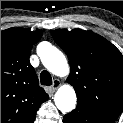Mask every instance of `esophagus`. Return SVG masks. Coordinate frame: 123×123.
Instances as JSON below:
<instances>
[{
    "mask_svg": "<svg viewBox=\"0 0 123 123\" xmlns=\"http://www.w3.org/2000/svg\"><path fill=\"white\" fill-rule=\"evenodd\" d=\"M61 83H60V80L59 79H54L53 80V84L51 86V89L53 91L57 90L59 87H60Z\"/></svg>",
    "mask_w": 123,
    "mask_h": 123,
    "instance_id": "1",
    "label": "esophagus"
}]
</instances>
